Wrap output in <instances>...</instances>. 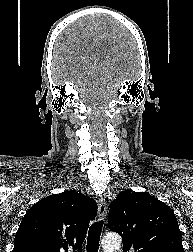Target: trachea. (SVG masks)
I'll use <instances>...</instances> for the list:
<instances>
[{
    "instance_id": "1",
    "label": "trachea",
    "mask_w": 193,
    "mask_h": 252,
    "mask_svg": "<svg viewBox=\"0 0 193 252\" xmlns=\"http://www.w3.org/2000/svg\"><path fill=\"white\" fill-rule=\"evenodd\" d=\"M103 220L94 222L88 232L87 252H98Z\"/></svg>"
}]
</instances>
